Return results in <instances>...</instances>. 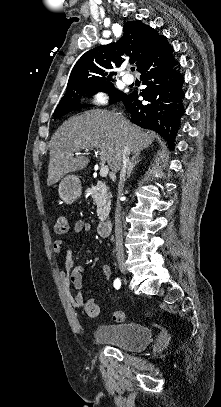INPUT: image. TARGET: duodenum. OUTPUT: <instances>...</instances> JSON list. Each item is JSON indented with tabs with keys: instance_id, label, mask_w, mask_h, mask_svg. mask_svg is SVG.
I'll list each match as a JSON object with an SVG mask.
<instances>
[{
	"instance_id": "obj_1",
	"label": "duodenum",
	"mask_w": 221,
	"mask_h": 407,
	"mask_svg": "<svg viewBox=\"0 0 221 407\" xmlns=\"http://www.w3.org/2000/svg\"><path fill=\"white\" fill-rule=\"evenodd\" d=\"M113 222L110 219L103 220L98 225V234L100 236H107L110 233Z\"/></svg>"
}]
</instances>
